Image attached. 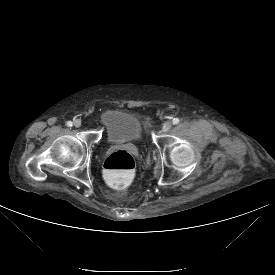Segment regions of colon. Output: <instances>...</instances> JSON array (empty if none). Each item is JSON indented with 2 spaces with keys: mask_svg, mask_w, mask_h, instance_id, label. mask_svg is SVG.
I'll return each instance as SVG.
<instances>
[{
  "mask_svg": "<svg viewBox=\"0 0 275 275\" xmlns=\"http://www.w3.org/2000/svg\"><path fill=\"white\" fill-rule=\"evenodd\" d=\"M104 176L113 186L124 188L135 176V160L125 151L119 150L110 154L104 161Z\"/></svg>",
  "mask_w": 275,
  "mask_h": 275,
  "instance_id": "5ec220e1",
  "label": "colon"
}]
</instances>
